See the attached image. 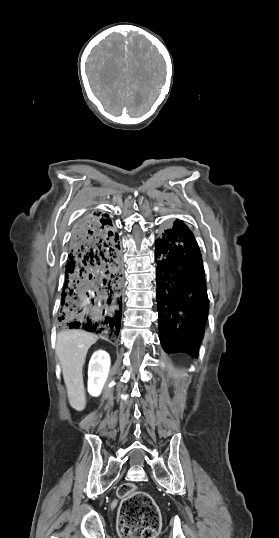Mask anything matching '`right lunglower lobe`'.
<instances>
[{"instance_id":"obj_1","label":"right lung lower lobe","mask_w":279,"mask_h":538,"mask_svg":"<svg viewBox=\"0 0 279 538\" xmlns=\"http://www.w3.org/2000/svg\"><path fill=\"white\" fill-rule=\"evenodd\" d=\"M65 268L59 327L95 334L118 332L122 257L108 214L88 211L81 217L69 242Z\"/></svg>"}]
</instances>
